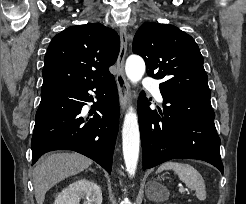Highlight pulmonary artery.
Segmentation results:
<instances>
[{
    "label": "pulmonary artery",
    "mask_w": 246,
    "mask_h": 204,
    "mask_svg": "<svg viewBox=\"0 0 246 204\" xmlns=\"http://www.w3.org/2000/svg\"><path fill=\"white\" fill-rule=\"evenodd\" d=\"M143 87L151 91L158 102H163V97L161 95L158 83L155 80L151 78H145L143 81Z\"/></svg>",
    "instance_id": "obj_1"
}]
</instances>
